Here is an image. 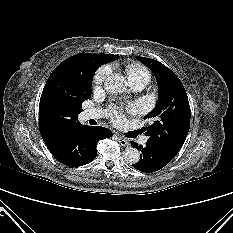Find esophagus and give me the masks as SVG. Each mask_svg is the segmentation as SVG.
I'll return each instance as SVG.
<instances>
[{
	"label": "esophagus",
	"mask_w": 233,
	"mask_h": 233,
	"mask_svg": "<svg viewBox=\"0 0 233 233\" xmlns=\"http://www.w3.org/2000/svg\"><path fill=\"white\" fill-rule=\"evenodd\" d=\"M118 141H119V143H120L122 146H124V147H130V142H129L128 139H126V138H124V137H122V136H119V137H118Z\"/></svg>",
	"instance_id": "obj_1"
}]
</instances>
